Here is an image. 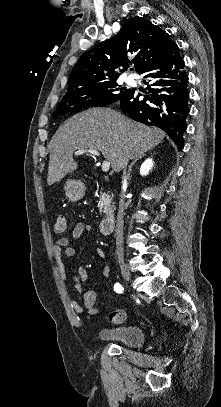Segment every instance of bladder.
Listing matches in <instances>:
<instances>
[{
  "mask_svg": "<svg viewBox=\"0 0 221 407\" xmlns=\"http://www.w3.org/2000/svg\"><path fill=\"white\" fill-rule=\"evenodd\" d=\"M96 336L101 341L116 342L130 348H140L146 341V332L139 326L101 328Z\"/></svg>",
  "mask_w": 221,
  "mask_h": 407,
  "instance_id": "bladder-1",
  "label": "bladder"
}]
</instances>
